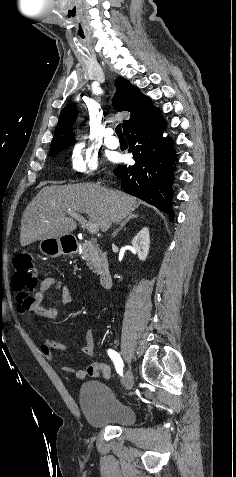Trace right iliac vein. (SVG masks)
I'll return each instance as SVG.
<instances>
[{
	"mask_svg": "<svg viewBox=\"0 0 236 477\" xmlns=\"http://www.w3.org/2000/svg\"><path fill=\"white\" fill-rule=\"evenodd\" d=\"M133 382H134L133 374H132V372H131L130 370H127V372H126L125 385H124V384L121 385L120 388H121V389H124L125 392H126V391L132 392V391H133V390H132ZM129 392L125 395L126 397H130V393H129ZM125 396H124V399L126 398Z\"/></svg>",
	"mask_w": 236,
	"mask_h": 477,
	"instance_id": "obj_1",
	"label": "right iliac vein"
}]
</instances>
